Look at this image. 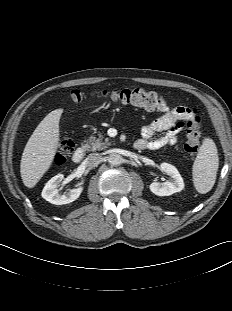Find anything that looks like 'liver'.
I'll return each instance as SVG.
<instances>
[{"label":"liver","mask_w":232,"mask_h":311,"mask_svg":"<svg viewBox=\"0 0 232 311\" xmlns=\"http://www.w3.org/2000/svg\"><path fill=\"white\" fill-rule=\"evenodd\" d=\"M63 109L50 112L29 138L20 163L24 185L33 188L50 168L59 146V121Z\"/></svg>","instance_id":"6515ba94"}]
</instances>
